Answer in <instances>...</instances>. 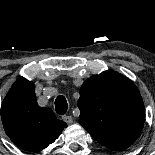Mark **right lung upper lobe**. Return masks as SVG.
<instances>
[{"mask_svg": "<svg viewBox=\"0 0 155 155\" xmlns=\"http://www.w3.org/2000/svg\"><path fill=\"white\" fill-rule=\"evenodd\" d=\"M1 119L11 141L32 152L46 148L67 127L50 108L37 104L34 84L23 77L16 80L4 98Z\"/></svg>", "mask_w": 155, "mask_h": 155, "instance_id": "1", "label": "right lung upper lobe"}]
</instances>
